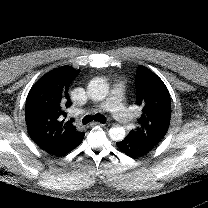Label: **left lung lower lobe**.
<instances>
[{"label": "left lung lower lobe", "mask_w": 208, "mask_h": 208, "mask_svg": "<svg viewBox=\"0 0 208 208\" xmlns=\"http://www.w3.org/2000/svg\"><path fill=\"white\" fill-rule=\"evenodd\" d=\"M119 150L130 157H139L154 149L156 146L132 139L128 136L121 142H117Z\"/></svg>", "instance_id": "1"}]
</instances>
